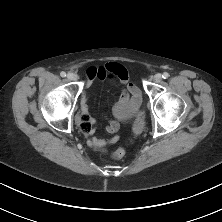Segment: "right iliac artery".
I'll use <instances>...</instances> for the list:
<instances>
[{"mask_svg":"<svg viewBox=\"0 0 222 222\" xmlns=\"http://www.w3.org/2000/svg\"><path fill=\"white\" fill-rule=\"evenodd\" d=\"M60 75H61V77H66V73H65L64 71H62V72L60 73Z\"/></svg>","mask_w":222,"mask_h":222,"instance_id":"obj_1","label":"right iliac artery"}]
</instances>
